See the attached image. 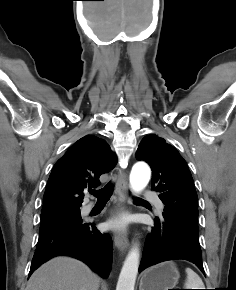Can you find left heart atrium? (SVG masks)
<instances>
[{
  "label": "left heart atrium",
  "mask_w": 236,
  "mask_h": 290,
  "mask_svg": "<svg viewBox=\"0 0 236 290\" xmlns=\"http://www.w3.org/2000/svg\"><path fill=\"white\" fill-rule=\"evenodd\" d=\"M128 224V219L125 216H117L111 219L108 223L110 228L123 230L126 228Z\"/></svg>",
  "instance_id": "39dd6f15"
}]
</instances>
